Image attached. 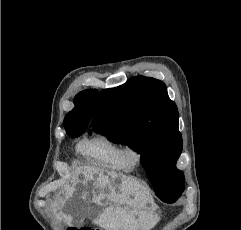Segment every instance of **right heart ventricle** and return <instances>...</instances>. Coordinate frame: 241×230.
<instances>
[{
	"label": "right heart ventricle",
	"mask_w": 241,
	"mask_h": 230,
	"mask_svg": "<svg viewBox=\"0 0 241 230\" xmlns=\"http://www.w3.org/2000/svg\"><path fill=\"white\" fill-rule=\"evenodd\" d=\"M122 144L113 137L97 133L83 140L78 151L89 161L115 169L129 171L122 159Z\"/></svg>",
	"instance_id": "e07e8e85"
}]
</instances>
